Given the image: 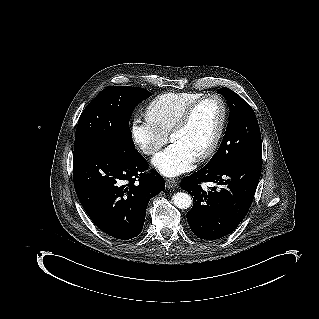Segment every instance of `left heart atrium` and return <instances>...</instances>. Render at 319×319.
<instances>
[{
    "instance_id": "1",
    "label": "left heart atrium",
    "mask_w": 319,
    "mask_h": 319,
    "mask_svg": "<svg viewBox=\"0 0 319 319\" xmlns=\"http://www.w3.org/2000/svg\"><path fill=\"white\" fill-rule=\"evenodd\" d=\"M195 162L193 153L185 144L174 141L155 158V166L165 175L174 176L191 171Z\"/></svg>"
}]
</instances>
